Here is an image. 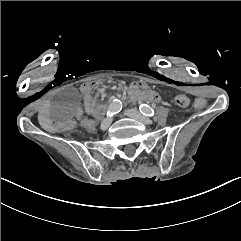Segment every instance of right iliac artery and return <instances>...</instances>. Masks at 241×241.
Segmentation results:
<instances>
[{
    "mask_svg": "<svg viewBox=\"0 0 241 241\" xmlns=\"http://www.w3.org/2000/svg\"><path fill=\"white\" fill-rule=\"evenodd\" d=\"M122 109V102L118 99L113 100V102L110 104L108 111H107V117H111L118 112H120Z\"/></svg>",
    "mask_w": 241,
    "mask_h": 241,
    "instance_id": "1",
    "label": "right iliac artery"
}]
</instances>
